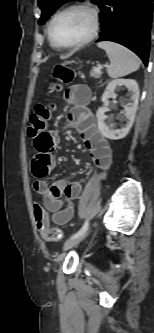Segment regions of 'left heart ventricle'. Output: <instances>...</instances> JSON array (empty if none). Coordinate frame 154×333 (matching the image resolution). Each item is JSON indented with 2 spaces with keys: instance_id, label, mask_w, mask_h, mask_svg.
Masks as SVG:
<instances>
[{
  "instance_id": "obj_1",
  "label": "left heart ventricle",
  "mask_w": 154,
  "mask_h": 333,
  "mask_svg": "<svg viewBox=\"0 0 154 333\" xmlns=\"http://www.w3.org/2000/svg\"><path fill=\"white\" fill-rule=\"evenodd\" d=\"M91 28L89 15L82 10H71L53 23L52 34L59 45H69L86 37Z\"/></svg>"
}]
</instances>
